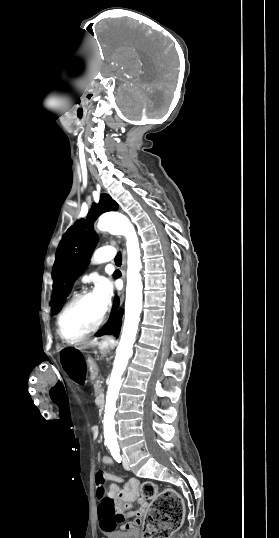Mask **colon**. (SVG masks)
I'll list each match as a JSON object with an SVG mask.
<instances>
[{"label":"colon","mask_w":279,"mask_h":538,"mask_svg":"<svg viewBox=\"0 0 279 538\" xmlns=\"http://www.w3.org/2000/svg\"><path fill=\"white\" fill-rule=\"evenodd\" d=\"M95 483L99 516L113 517L116 508L104 486L105 475L102 472L95 474ZM141 495L144 499L151 500L142 529L143 538H170L178 530L184 517V503L179 493L171 488L158 493L156 484L145 482L141 486Z\"/></svg>","instance_id":"1"}]
</instances>
